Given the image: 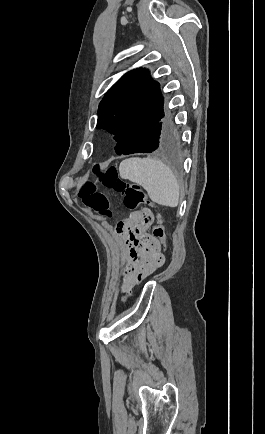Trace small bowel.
Listing matches in <instances>:
<instances>
[{"instance_id": "c3829d8e", "label": "small bowel", "mask_w": 265, "mask_h": 434, "mask_svg": "<svg viewBox=\"0 0 265 434\" xmlns=\"http://www.w3.org/2000/svg\"><path fill=\"white\" fill-rule=\"evenodd\" d=\"M122 222L125 228L134 230L132 233H118L123 240L127 256V264L122 269V289L128 291L141 279L163 266L165 258L161 243L151 237L153 215L149 210L132 211Z\"/></svg>"}]
</instances>
